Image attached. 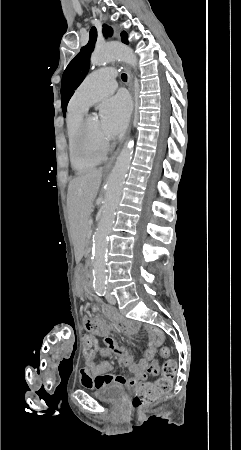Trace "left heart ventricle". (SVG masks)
Returning <instances> with one entry per match:
<instances>
[{
  "instance_id": "obj_1",
  "label": "left heart ventricle",
  "mask_w": 241,
  "mask_h": 450,
  "mask_svg": "<svg viewBox=\"0 0 241 450\" xmlns=\"http://www.w3.org/2000/svg\"><path fill=\"white\" fill-rule=\"evenodd\" d=\"M86 143H83L81 149L83 152H90L91 149L99 148L100 153L104 154L108 148L104 146L107 140L109 141V135L105 124L100 121H91L89 124L88 132L85 134ZM88 161V160H87Z\"/></svg>"
}]
</instances>
